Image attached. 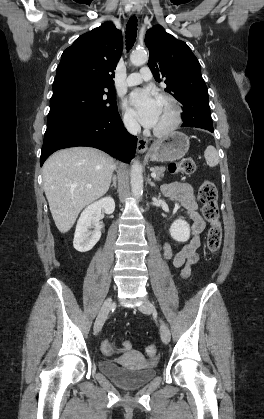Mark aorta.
<instances>
[{"label": "aorta", "mask_w": 264, "mask_h": 419, "mask_svg": "<svg viewBox=\"0 0 264 419\" xmlns=\"http://www.w3.org/2000/svg\"><path fill=\"white\" fill-rule=\"evenodd\" d=\"M148 60L146 51H134L130 56V61L134 66H141ZM131 188L133 196L137 199L143 195V175L142 168L138 161H135L131 167Z\"/></svg>", "instance_id": "1"}]
</instances>
